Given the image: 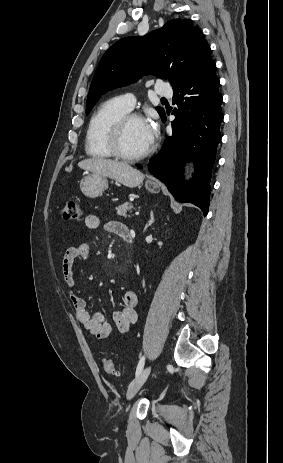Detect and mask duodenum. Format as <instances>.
<instances>
[{
  "instance_id": "410a0bca",
  "label": "duodenum",
  "mask_w": 283,
  "mask_h": 463,
  "mask_svg": "<svg viewBox=\"0 0 283 463\" xmlns=\"http://www.w3.org/2000/svg\"><path fill=\"white\" fill-rule=\"evenodd\" d=\"M125 240H126L127 242H129V243H132V242H133V238H132L131 234L127 235L126 238H125Z\"/></svg>"
}]
</instances>
